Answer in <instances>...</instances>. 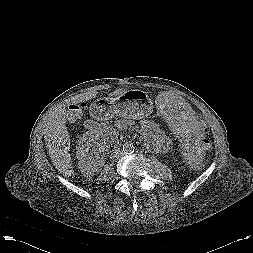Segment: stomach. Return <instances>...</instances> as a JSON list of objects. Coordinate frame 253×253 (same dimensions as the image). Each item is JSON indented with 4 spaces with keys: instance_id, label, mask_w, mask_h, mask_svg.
<instances>
[{
    "instance_id": "0dacf381",
    "label": "stomach",
    "mask_w": 253,
    "mask_h": 253,
    "mask_svg": "<svg viewBox=\"0 0 253 253\" xmlns=\"http://www.w3.org/2000/svg\"><path fill=\"white\" fill-rule=\"evenodd\" d=\"M105 118L116 114L130 119H142L153 111V102L142 90L131 89L116 98H102L94 103Z\"/></svg>"
}]
</instances>
